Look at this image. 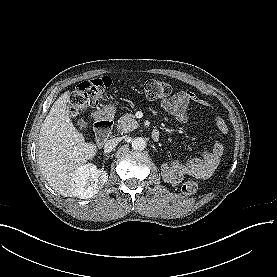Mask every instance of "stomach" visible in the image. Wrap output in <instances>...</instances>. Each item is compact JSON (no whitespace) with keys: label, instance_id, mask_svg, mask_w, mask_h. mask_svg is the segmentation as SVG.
Returning a JSON list of instances; mask_svg holds the SVG:
<instances>
[{"label":"stomach","instance_id":"0dacf381","mask_svg":"<svg viewBox=\"0 0 277 277\" xmlns=\"http://www.w3.org/2000/svg\"><path fill=\"white\" fill-rule=\"evenodd\" d=\"M105 110H106V113L113 114L115 112V106L110 104L105 108Z\"/></svg>","mask_w":277,"mask_h":277}]
</instances>
